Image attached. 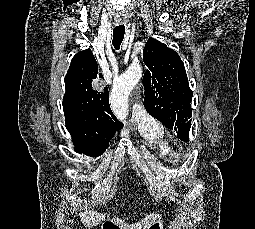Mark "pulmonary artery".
I'll use <instances>...</instances> for the list:
<instances>
[{
  "label": "pulmonary artery",
  "instance_id": "1",
  "mask_svg": "<svg viewBox=\"0 0 255 229\" xmlns=\"http://www.w3.org/2000/svg\"><path fill=\"white\" fill-rule=\"evenodd\" d=\"M132 118L133 120L144 126L153 127L154 119L145 111L143 106L139 103H134L132 107Z\"/></svg>",
  "mask_w": 255,
  "mask_h": 229
}]
</instances>
